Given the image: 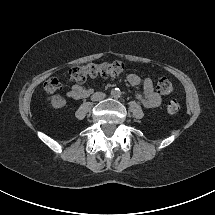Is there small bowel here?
Here are the masks:
<instances>
[{"label": "small bowel", "mask_w": 215, "mask_h": 215, "mask_svg": "<svg viewBox=\"0 0 215 215\" xmlns=\"http://www.w3.org/2000/svg\"><path fill=\"white\" fill-rule=\"evenodd\" d=\"M127 81L131 86H138L142 84L143 92L138 96L140 102L149 109H155L161 104V97L154 89L153 81L150 78H141L134 73L127 76ZM93 93L92 88L84 87L81 84H74L67 96L73 99H83L89 97Z\"/></svg>", "instance_id": "obj_1"}]
</instances>
